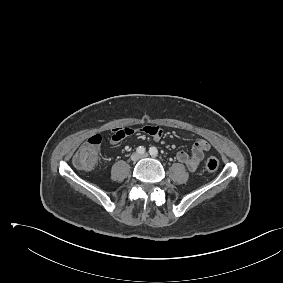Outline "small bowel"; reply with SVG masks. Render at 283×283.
Masks as SVG:
<instances>
[{
  "instance_id": "small-bowel-1",
  "label": "small bowel",
  "mask_w": 283,
  "mask_h": 283,
  "mask_svg": "<svg viewBox=\"0 0 283 283\" xmlns=\"http://www.w3.org/2000/svg\"><path fill=\"white\" fill-rule=\"evenodd\" d=\"M142 131L155 140H159L163 134L161 127L159 126H145ZM134 131L130 128L116 127L112 129V135L110 137V145H117L125 137L131 135ZM210 149V143L205 139H198L195 141L192 147L191 153L186 151H179L176 154V159L184 164L188 170L195 171L201 165L204 160L205 152Z\"/></svg>"
}]
</instances>
